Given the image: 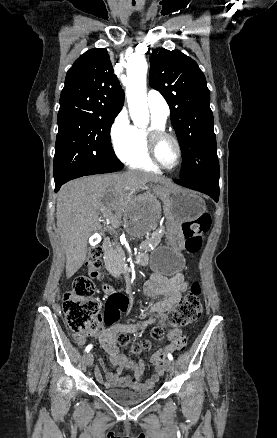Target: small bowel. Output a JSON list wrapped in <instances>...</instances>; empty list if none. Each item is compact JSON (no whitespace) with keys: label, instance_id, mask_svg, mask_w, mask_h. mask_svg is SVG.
<instances>
[{"label":"small bowel","instance_id":"small-bowel-1","mask_svg":"<svg viewBox=\"0 0 277 438\" xmlns=\"http://www.w3.org/2000/svg\"><path fill=\"white\" fill-rule=\"evenodd\" d=\"M187 287L188 285L181 273L171 276L154 273L144 285L145 295L156 299L149 307L150 315L148 318L136 323L117 324L109 328L100 326L93 331L73 335V339L78 345H85L90 338L98 339L101 347L108 354L110 363L115 367V371L110 372L108 371V364H101L100 369L106 375V387H127L138 391H145L152 389L158 383L164 373L163 364L159 366L157 363H153L155 366L154 374L150 378L143 380L145 362L143 360L133 362L125 354L121 353L117 344V336L121 333L137 335L152 324H165L168 311L181 300ZM178 336H181V331L178 329H169L167 331V337L171 341H174ZM174 348L173 343L160 351H165L167 355ZM125 370L132 371V376H124ZM95 373L97 378L101 380V374L98 369Z\"/></svg>","mask_w":277,"mask_h":438}]
</instances>
